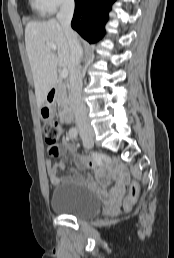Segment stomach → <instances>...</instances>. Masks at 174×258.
<instances>
[{
  "mask_svg": "<svg viewBox=\"0 0 174 258\" xmlns=\"http://www.w3.org/2000/svg\"><path fill=\"white\" fill-rule=\"evenodd\" d=\"M39 115L43 120H50L55 115V103L45 99L44 103L39 109Z\"/></svg>",
  "mask_w": 174,
  "mask_h": 258,
  "instance_id": "0dacf381",
  "label": "stomach"
}]
</instances>
